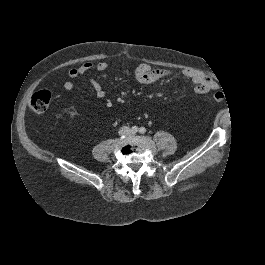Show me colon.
<instances>
[{
	"label": "colon",
	"mask_w": 265,
	"mask_h": 265,
	"mask_svg": "<svg viewBox=\"0 0 265 265\" xmlns=\"http://www.w3.org/2000/svg\"><path fill=\"white\" fill-rule=\"evenodd\" d=\"M225 99V95L223 92H216L213 95V100L215 102H221ZM51 102V93L48 90H40L33 94L30 107L36 113H42L47 110L49 104Z\"/></svg>",
	"instance_id": "colon-1"
}]
</instances>
